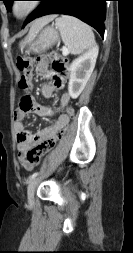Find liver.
<instances>
[{"label": "liver", "instance_id": "6515ba94", "mask_svg": "<svg viewBox=\"0 0 133 253\" xmlns=\"http://www.w3.org/2000/svg\"><path fill=\"white\" fill-rule=\"evenodd\" d=\"M55 17L56 15H47L34 21L33 24L31 25L28 36L25 38V41L28 38H31L34 35H36L46 24L51 22ZM25 41H22L21 45H23Z\"/></svg>", "mask_w": 133, "mask_h": 253}]
</instances>
